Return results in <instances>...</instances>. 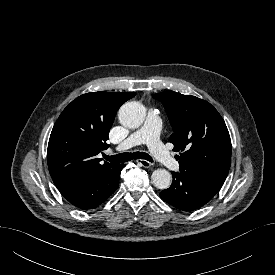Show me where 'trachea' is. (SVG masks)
Here are the masks:
<instances>
[{
  "instance_id": "trachea-1",
  "label": "trachea",
  "mask_w": 275,
  "mask_h": 275,
  "mask_svg": "<svg viewBox=\"0 0 275 275\" xmlns=\"http://www.w3.org/2000/svg\"><path fill=\"white\" fill-rule=\"evenodd\" d=\"M104 158L113 164L128 162L132 159H144L153 162L152 157L144 152L120 153L112 156L105 155Z\"/></svg>"
}]
</instances>
